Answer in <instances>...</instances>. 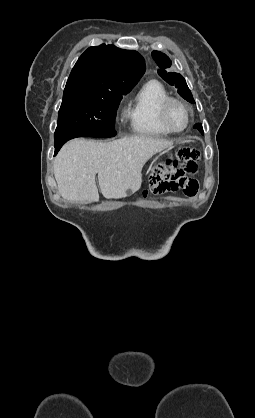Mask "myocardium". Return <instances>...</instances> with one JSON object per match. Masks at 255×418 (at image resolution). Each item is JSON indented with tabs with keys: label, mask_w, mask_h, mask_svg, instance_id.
I'll use <instances>...</instances> for the list:
<instances>
[{
	"label": "myocardium",
	"mask_w": 255,
	"mask_h": 418,
	"mask_svg": "<svg viewBox=\"0 0 255 418\" xmlns=\"http://www.w3.org/2000/svg\"><path fill=\"white\" fill-rule=\"evenodd\" d=\"M173 104H178L182 106L185 109L186 114H187V122L185 126L181 129H175L174 127H172V125L169 122V112ZM191 118H192V113H191L190 106L185 101L179 98L169 97L161 105V109H160L161 123L163 124L165 128H167L172 133H180L186 130V128L189 126L191 122Z\"/></svg>",
	"instance_id": "f54148a6"
}]
</instances>
